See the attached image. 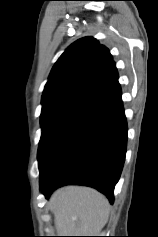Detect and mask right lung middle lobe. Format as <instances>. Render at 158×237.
Returning a JSON list of instances; mask_svg holds the SVG:
<instances>
[{"label":"right lung middle lobe","mask_w":158,"mask_h":237,"mask_svg":"<svg viewBox=\"0 0 158 237\" xmlns=\"http://www.w3.org/2000/svg\"><path fill=\"white\" fill-rule=\"evenodd\" d=\"M42 105L40 144L60 122L82 104L74 100L59 99L42 102Z\"/></svg>","instance_id":"1"}]
</instances>
